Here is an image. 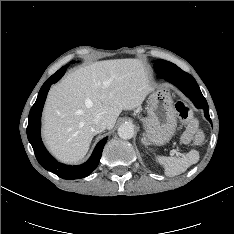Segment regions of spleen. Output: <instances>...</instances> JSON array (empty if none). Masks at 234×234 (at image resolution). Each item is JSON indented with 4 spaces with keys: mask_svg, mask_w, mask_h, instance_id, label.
<instances>
[{
    "mask_svg": "<svg viewBox=\"0 0 234 234\" xmlns=\"http://www.w3.org/2000/svg\"><path fill=\"white\" fill-rule=\"evenodd\" d=\"M156 161L164 167L166 176L174 177L187 170V168L199 161V153L191 150L182 158L158 156Z\"/></svg>",
    "mask_w": 234,
    "mask_h": 234,
    "instance_id": "3e777b00",
    "label": "spleen"
}]
</instances>
